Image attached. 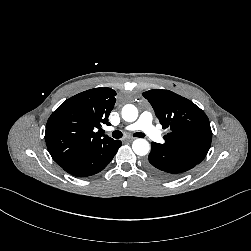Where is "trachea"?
Segmentation results:
<instances>
[{"label":"trachea","mask_w":251,"mask_h":251,"mask_svg":"<svg viewBox=\"0 0 251 251\" xmlns=\"http://www.w3.org/2000/svg\"><path fill=\"white\" fill-rule=\"evenodd\" d=\"M122 136H123L122 132H121V131H118V130L113 131V133H112V137H113V138H116V139H119V138H121ZM133 136H134V137L143 138V137H145V134H144V133H141V132H137V133H134Z\"/></svg>","instance_id":"trachea-1"}]
</instances>
